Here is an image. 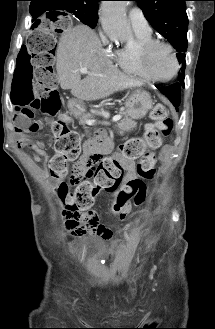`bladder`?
Listing matches in <instances>:
<instances>
[{"instance_id": "31cf9c89", "label": "bladder", "mask_w": 215, "mask_h": 329, "mask_svg": "<svg viewBox=\"0 0 215 329\" xmlns=\"http://www.w3.org/2000/svg\"><path fill=\"white\" fill-rule=\"evenodd\" d=\"M112 251L111 245L99 236L89 237L79 245L80 254L94 261H100L103 257L109 256Z\"/></svg>"}]
</instances>
